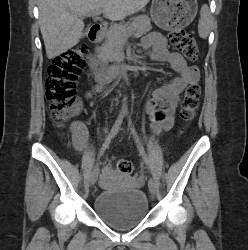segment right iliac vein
<instances>
[{
    "label": "right iliac vein",
    "mask_w": 248,
    "mask_h": 250,
    "mask_svg": "<svg viewBox=\"0 0 248 250\" xmlns=\"http://www.w3.org/2000/svg\"><path fill=\"white\" fill-rule=\"evenodd\" d=\"M98 179V168H95L90 178V185L94 186Z\"/></svg>",
    "instance_id": "1"
}]
</instances>
